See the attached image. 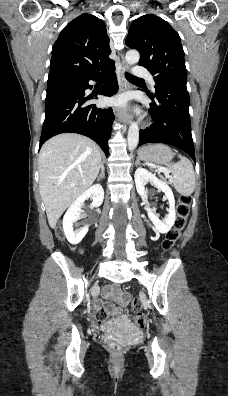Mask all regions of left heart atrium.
<instances>
[{
  "instance_id": "obj_1",
  "label": "left heart atrium",
  "mask_w": 228,
  "mask_h": 396,
  "mask_svg": "<svg viewBox=\"0 0 228 396\" xmlns=\"http://www.w3.org/2000/svg\"><path fill=\"white\" fill-rule=\"evenodd\" d=\"M125 102H126L125 97H120L114 101V103L119 106H123L125 104Z\"/></svg>"
}]
</instances>
